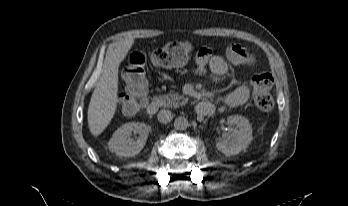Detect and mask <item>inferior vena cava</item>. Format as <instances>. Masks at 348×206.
Returning <instances> with one entry per match:
<instances>
[{
  "label": "inferior vena cava",
  "mask_w": 348,
  "mask_h": 206,
  "mask_svg": "<svg viewBox=\"0 0 348 206\" xmlns=\"http://www.w3.org/2000/svg\"><path fill=\"white\" fill-rule=\"evenodd\" d=\"M157 119L159 122L166 124L173 119V114L169 110H160L157 114Z\"/></svg>",
  "instance_id": "602c4592"
}]
</instances>
